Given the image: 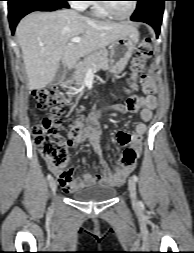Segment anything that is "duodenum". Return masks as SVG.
<instances>
[{"label": "duodenum", "instance_id": "duodenum-1", "mask_svg": "<svg viewBox=\"0 0 194 253\" xmlns=\"http://www.w3.org/2000/svg\"><path fill=\"white\" fill-rule=\"evenodd\" d=\"M68 80H69L68 74H64L62 79H61V83L66 84L68 82Z\"/></svg>", "mask_w": 194, "mask_h": 253}]
</instances>
